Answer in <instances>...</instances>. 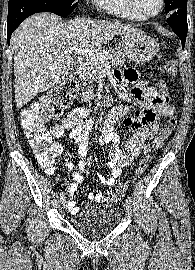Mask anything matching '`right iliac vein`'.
<instances>
[{"label": "right iliac vein", "instance_id": "1", "mask_svg": "<svg viewBox=\"0 0 195 270\" xmlns=\"http://www.w3.org/2000/svg\"><path fill=\"white\" fill-rule=\"evenodd\" d=\"M59 206H60L61 210L66 207V199L65 198L60 199Z\"/></svg>", "mask_w": 195, "mask_h": 270}]
</instances>
